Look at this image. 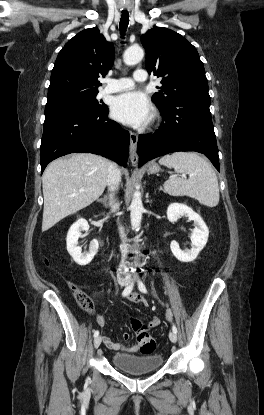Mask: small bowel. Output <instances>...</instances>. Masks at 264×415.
Segmentation results:
<instances>
[{
    "instance_id": "1",
    "label": "small bowel",
    "mask_w": 264,
    "mask_h": 415,
    "mask_svg": "<svg viewBox=\"0 0 264 415\" xmlns=\"http://www.w3.org/2000/svg\"><path fill=\"white\" fill-rule=\"evenodd\" d=\"M129 299L136 303L139 306L142 307H147L148 306V301L141 295L139 294H131L128 296ZM124 318H126V316H124ZM136 319L130 318L129 321L133 327V329L135 331L138 330L136 323H135ZM97 323L100 326H105L107 323V317L106 316H98L97 317ZM159 324V319L157 317H152L146 324L144 325H140L141 330H145L148 328H153L156 327ZM103 343L107 346V348L111 349V350H115V351H119L121 354H127V355H133L135 353L141 352L142 354H147L141 343H135V344H131V345H125L119 342H116L114 340H112L110 337L103 335L102 337ZM122 338L125 341H128L130 339V335L129 333L125 332L122 334Z\"/></svg>"
}]
</instances>
